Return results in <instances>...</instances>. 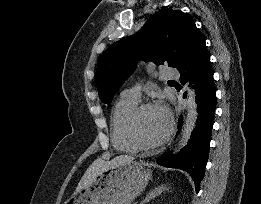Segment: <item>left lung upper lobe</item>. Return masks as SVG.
<instances>
[{"label": "left lung upper lobe", "instance_id": "obj_1", "mask_svg": "<svg viewBox=\"0 0 261 204\" xmlns=\"http://www.w3.org/2000/svg\"><path fill=\"white\" fill-rule=\"evenodd\" d=\"M198 32L192 18L182 11H158L136 34L115 42L101 56L96 75L100 100L112 102L139 59L178 68Z\"/></svg>", "mask_w": 261, "mask_h": 204}]
</instances>
